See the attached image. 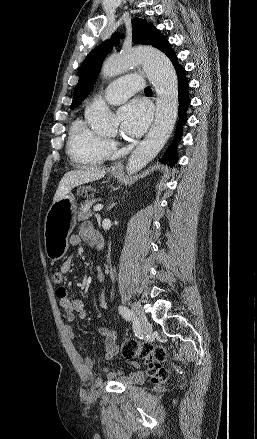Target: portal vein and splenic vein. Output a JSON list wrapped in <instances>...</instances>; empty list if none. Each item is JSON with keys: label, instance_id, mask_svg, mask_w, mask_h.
<instances>
[{"label": "portal vein and splenic vein", "instance_id": "obj_1", "mask_svg": "<svg viewBox=\"0 0 257 439\" xmlns=\"http://www.w3.org/2000/svg\"><path fill=\"white\" fill-rule=\"evenodd\" d=\"M102 208H103L102 204H97V205L94 206L93 210L98 212V211L102 210Z\"/></svg>", "mask_w": 257, "mask_h": 439}]
</instances>
